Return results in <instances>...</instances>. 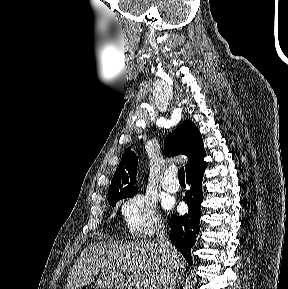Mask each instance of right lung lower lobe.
I'll list each match as a JSON object with an SVG mask.
<instances>
[{
	"label": "right lung lower lobe",
	"mask_w": 288,
	"mask_h": 289,
	"mask_svg": "<svg viewBox=\"0 0 288 289\" xmlns=\"http://www.w3.org/2000/svg\"><path fill=\"white\" fill-rule=\"evenodd\" d=\"M205 168L206 162L203 159L186 172V180L190 189L186 192L185 200L189 212L183 216L172 215L169 221L172 230L169 235L171 242L189 264H192L191 248L195 244L196 234L199 233L200 206L203 200L201 179Z\"/></svg>",
	"instance_id": "obj_1"
}]
</instances>
